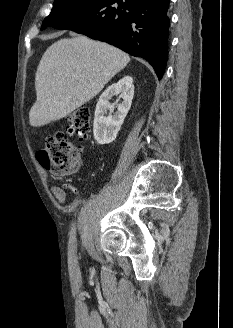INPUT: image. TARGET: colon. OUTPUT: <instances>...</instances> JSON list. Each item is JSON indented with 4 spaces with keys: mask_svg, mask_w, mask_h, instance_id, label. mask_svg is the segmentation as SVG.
Instances as JSON below:
<instances>
[{
    "mask_svg": "<svg viewBox=\"0 0 233 328\" xmlns=\"http://www.w3.org/2000/svg\"><path fill=\"white\" fill-rule=\"evenodd\" d=\"M67 132L77 139H87L90 130V111L80 108L67 117ZM82 148L73 144L64 132H56L46 140L45 147L37 152V160L43 168L54 175L74 172L82 161Z\"/></svg>",
    "mask_w": 233,
    "mask_h": 328,
    "instance_id": "colon-1",
    "label": "colon"
}]
</instances>
